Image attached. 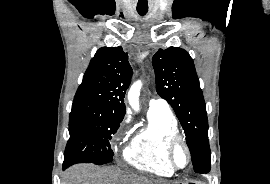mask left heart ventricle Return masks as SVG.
<instances>
[{
	"mask_svg": "<svg viewBox=\"0 0 270 184\" xmlns=\"http://www.w3.org/2000/svg\"><path fill=\"white\" fill-rule=\"evenodd\" d=\"M174 161L179 167H183L187 163V154L182 145H178L174 151Z\"/></svg>",
	"mask_w": 270,
	"mask_h": 184,
	"instance_id": "obj_1",
	"label": "left heart ventricle"
}]
</instances>
